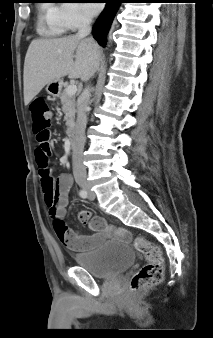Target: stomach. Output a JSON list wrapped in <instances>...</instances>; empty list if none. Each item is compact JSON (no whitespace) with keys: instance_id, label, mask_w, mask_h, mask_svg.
I'll list each match as a JSON object with an SVG mask.
<instances>
[{"instance_id":"obj_1","label":"stomach","mask_w":213,"mask_h":338,"mask_svg":"<svg viewBox=\"0 0 213 338\" xmlns=\"http://www.w3.org/2000/svg\"><path fill=\"white\" fill-rule=\"evenodd\" d=\"M61 86H62V81L57 80V81H54L52 83H49L46 87V91L50 95L56 96L59 93V91L61 90Z\"/></svg>"}]
</instances>
